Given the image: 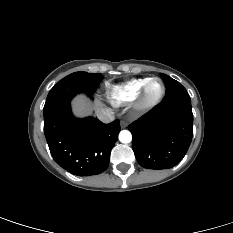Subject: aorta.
<instances>
[{
	"label": "aorta",
	"mask_w": 233,
	"mask_h": 233,
	"mask_svg": "<svg viewBox=\"0 0 233 233\" xmlns=\"http://www.w3.org/2000/svg\"><path fill=\"white\" fill-rule=\"evenodd\" d=\"M119 140L121 143L128 144L132 141V134L128 130H122L119 133Z\"/></svg>",
	"instance_id": "aorta-1"
}]
</instances>
